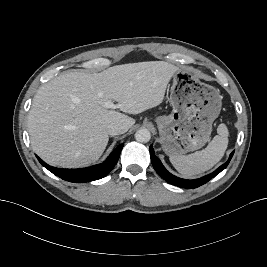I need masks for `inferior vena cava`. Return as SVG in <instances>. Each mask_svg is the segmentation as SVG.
<instances>
[{
  "label": "inferior vena cava",
  "mask_w": 267,
  "mask_h": 267,
  "mask_svg": "<svg viewBox=\"0 0 267 267\" xmlns=\"http://www.w3.org/2000/svg\"><path fill=\"white\" fill-rule=\"evenodd\" d=\"M107 132L111 136L123 133V127L118 123H111L107 126Z\"/></svg>",
  "instance_id": "inferior-vena-cava-1"
}]
</instances>
